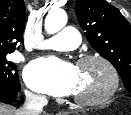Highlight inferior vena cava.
<instances>
[{"label":"inferior vena cava","mask_w":131,"mask_h":115,"mask_svg":"<svg viewBox=\"0 0 131 115\" xmlns=\"http://www.w3.org/2000/svg\"><path fill=\"white\" fill-rule=\"evenodd\" d=\"M26 100L24 106L18 110V115H40L48 100L44 96L25 92Z\"/></svg>","instance_id":"1"}]
</instances>
